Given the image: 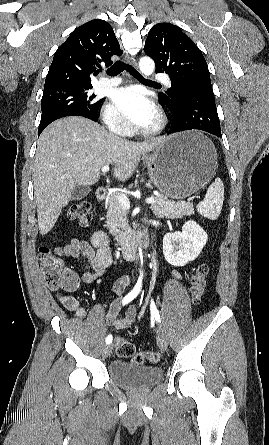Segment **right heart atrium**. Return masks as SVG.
Returning <instances> with one entry per match:
<instances>
[{"mask_svg":"<svg viewBox=\"0 0 269 445\" xmlns=\"http://www.w3.org/2000/svg\"><path fill=\"white\" fill-rule=\"evenodd\" d=\"M102 121L113 133L124 135L130 131V125L118 109L111 103L102 109Z\"/></svg>","mask_w":269,"mask_h":445,"instance_id":"obj_1","label":"right heart atrium"}]
</instances>
